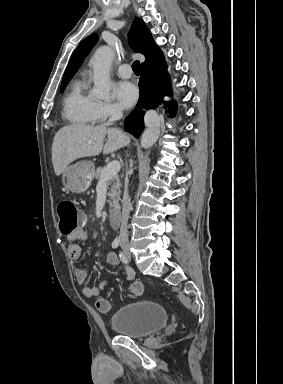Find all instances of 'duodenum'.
<instances>
[{
  "label": "duodenum",
  "mask_w": 283,
  "mask_h": 384,
  "mask_svg": "<svg viewBox=\"0 0 283 384\" xmlns=\"http://www.w3.org/2000/svg\"><path fill=\"white\" fill-rule=\"evenodd\" d=\"M109 223L114 227H119L120 224V213L118 211H114L109 213L108 215Z\"/></svg>",
  "instance_id": "obj_1"
}]
</instances>
